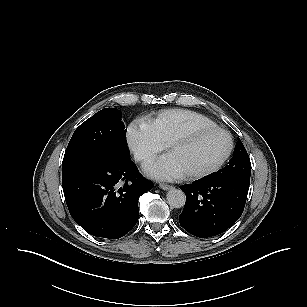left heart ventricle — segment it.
<instances>
[{
  "instance_id": "left-heart-ventricle-1",
  "label": "left heart ventricle",
  "mask_w": 307,
  "mask_h": 307,
  "mask_svg": "<svg viewBox=\"0 0 307 307\" xmlns=\"http://www.w3.org/2000/svg\"><path fill=\"white\" fill-rule=\"evenodd\" d=\"M229 138L221 132L204 134L189 145L169 151L183 175L199 172L216 165L229 149Z\"/></svg>"
}]
</instances>
